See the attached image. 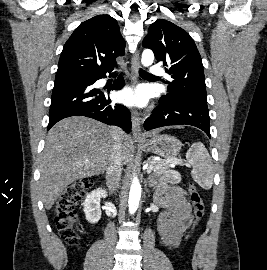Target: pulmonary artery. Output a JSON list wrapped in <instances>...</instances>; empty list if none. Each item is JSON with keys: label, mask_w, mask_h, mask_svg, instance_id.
<instances>
[{"label": "pulmonary artery", "mask_w": 267, "mask_h": 270, "mask_svg": "<svg viewBox=\"0 0 267 270\" xmlns=\"http://www.w3.org/2000/svg\"><path fill=\"white\" fill-rule=\"evenodd\" d=\"M150 73L152 75H160V74H162V69L160 67H158V66H152L150 68Z\"/></svg>", "instance_id": "1"}]
</instances>
